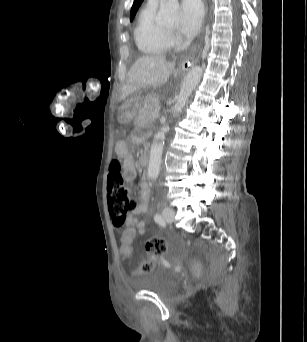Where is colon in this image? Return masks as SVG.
<instances>
[{"label": "colon", "mask_w": 307, "mask_h": 342, "mask_svg": "<svg viewBox=\"0 0 307 342\" xmlns=\"http://www.w3.org/2000/svg\"><path fill=\"white\" fill-rule=\"evenodd\" d=\"M108 202L111 214L113 216V224L116 228H121L125 224L127 214L133 212L136 208V201L130 196L127 187L121 175L120 167L113 160L112 166L108 174L107 180ZM125 236L119 237V249L121 254L133 253V236L132 226H125ZM145 251L151 257H159L163 253H169L171 248L166 240L160 237H153L146 241ZM193 276H204L205 266L195 265L194 261L188 262ZM153 264L151 261H143L135 269L137 275H146L152 271Z\"/></svg>", "instance_id": "5ec220e1"}]
</instances>
